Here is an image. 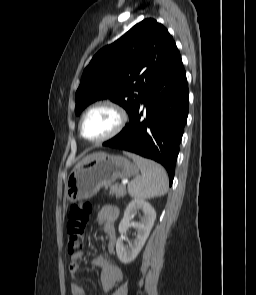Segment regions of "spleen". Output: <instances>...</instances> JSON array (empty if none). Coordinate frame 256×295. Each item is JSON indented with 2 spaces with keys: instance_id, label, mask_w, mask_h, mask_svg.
<instances>
[{
  "instance_id": "obj_1",
  "label": "spleen",
  "mask_w": 256,
  "mask_h": 295,
  "mask_svg": "<svg viewBox=\"0 0 256 295\" xmlns=\"http://www.w3.org/2000/svg\"><path fill=\"white\" fill-rule=\"evenodd\" d=\"M138 165L141 176L128 185L130 196L136 199H150L162 196L168 191V176L164 168L151 160L133 153H125Z\"/></svg>"
}]
</instances>
